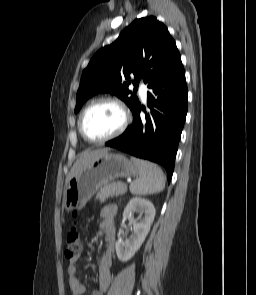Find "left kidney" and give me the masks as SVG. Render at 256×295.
Listing matches in <instances>:
<instances>
[{
    "label": "left kidney",
    "mask_w": 256,
    "mask_h": 295,
    "mask_svg": "<svg viewBox=\"0 0 256 295\" xmlns=\"http://www.w3.org/2000/svg\"><path fill=\"white\" fill-rule=\"evenodd\" d=\"M134 213H139L137 220L133 218ZM155 217L154 205L147 199L132 198L123 212V218L128 219L133 225V232L125 240L119 239L115 244L117 257L122 262L130 260L139 250L148 235Z\"/></svg>",
    "instance_id": "obj_1"
}]
</instances>
